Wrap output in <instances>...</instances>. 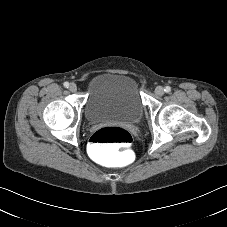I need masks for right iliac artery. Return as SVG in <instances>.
<instances>
[{
  "mask_svg": "<svg viewBox=\"0 0 227 227\" xmlns=\"http://www.w3.org/2000/svg\"><path fill=\"white\" fill-rule=\"evenodd\" d=\"M64 87L68 88L69 87V83L68 82H65L64 83Z\"/></svg>",
  "mask_w": 227,
  "mask_h": 227,
  "instance_id": "1",
  "label": "right iliac artery"
}]
</instances>
